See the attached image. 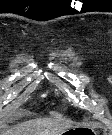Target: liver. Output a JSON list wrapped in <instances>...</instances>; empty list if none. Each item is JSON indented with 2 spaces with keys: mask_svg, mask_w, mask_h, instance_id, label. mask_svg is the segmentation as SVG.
I'll return each mask as SVG.
<instances>
[{
  "mask_svg": "<svg viewBox=\"0 0 112 135\" xmlns=\"http://www.w3.org/2000/svg\"><path fill=\"white\" fill-rule=\"evenodd\" d=\"M67 127L65 124L48 120L37 119L29 121L21 127V135H60Z\"/></svg>",
  "mask_w": 112,
  "mask_h": 135,
  "instance_id": "obj_1",
  "label": "liver"
}]
</instances>
